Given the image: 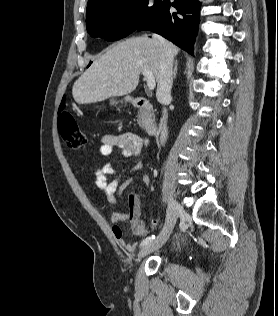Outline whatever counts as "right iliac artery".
<instances>
[{"mask_svg": "<svg viewBox=\"0 0 278 316\" xmlns=\"http://www.w3.org/2000/svg\"><path fill=\"white\" fill-rule=\"evenodd\" d=\"M154 239H155V236H154V235L145 238V239L141 242V246H145V245L149 244V243L152 242Z\"/></svg>", "mask_w": 278, "mask_h": 316, "instance_id": "82829eb1", "label": "right iliac artery"}]
</instances>
